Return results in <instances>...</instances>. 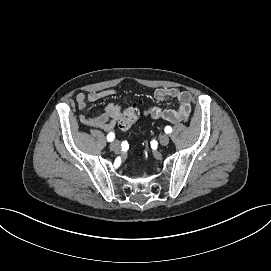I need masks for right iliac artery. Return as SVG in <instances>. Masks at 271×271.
I'll list each match as a JSON object with an SVG mask.
<instances>
[{
	"label": "right iliac artery",
	"instance_id": "82829eb1",
	"mask_svg": "<svg viewBox=\"0 0 271 271\" xmlns=\"http://www.w3.org/2000/svg\"><path fill=\"white\" fill-rule=\"evenodd\" d=\"M114 138H115V135H114V133H112V132H110V133L107 135V140H108L109 142L113 141Z\"/></svg>",
	"mask_w": 271,
	"mask_h": 271
}]
</instances>
